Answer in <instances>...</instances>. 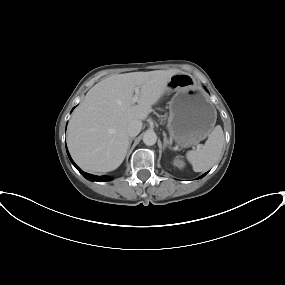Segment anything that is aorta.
Masks as SVG:
<instances>
[{"label": "aorta", "instance_id": "1", "mask_svg": "<svg viewBox=\"0 0 285 285\" xmlns=\"http://www.w3.org/2000/svg\"><path fill=\"white\" fill-rule=\"evenodd\" d=\"M157 141V136L154 131H147L143 136V142L145 145L151 146L154 145Z\"/></svg>", "mask_w": 285, "mask_h": 285}]
</instances>
